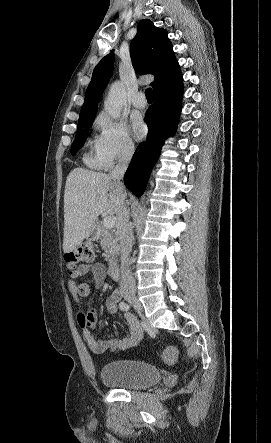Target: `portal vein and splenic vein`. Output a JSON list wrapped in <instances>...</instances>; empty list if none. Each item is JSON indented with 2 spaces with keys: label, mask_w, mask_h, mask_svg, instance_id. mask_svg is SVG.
I'll return each mask as SVG.
<instances>
[{
  "label": "portal vein and splenic vein",
  "mask_w": 271,
  "mask_h": 443,
  "mask_svg": "<svg viewBox=\"0 0 271 443\" xmlns=\"http://www.w3.org/2000/svg\"><path fill=\"white\" fill-rule=\"evenodd\" d=\"M104 227H114L116 225V218L114 216H107V218H104L103 220Z\"/></svg>",
  "instance_id": "18ae733b"
}]
</instances>
